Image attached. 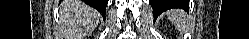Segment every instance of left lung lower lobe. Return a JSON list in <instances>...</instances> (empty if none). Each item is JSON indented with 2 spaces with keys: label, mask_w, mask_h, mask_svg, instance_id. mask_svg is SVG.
<instances>
[{
  "label": "left lung lower lobe",
  "mask_w": 249,
  "mask_h": 39,
  "mask_svg": "<svg viewBox=\"0 0 249 39\" xmlns=\"http://www.w3.org/2000/svg\"><path fill=\"white\" fill-rule=\"evenodd\" d=\"M182 2L183 4L178 5V8H183V9H187L188 7V1L186 0H149L152 8H153V15L154 18H157L159 16V14H161L162 12L171 9V8H175L174 7V3L176 2Z\"/></svg>",
  "instance_id": "obj_1"
}]
</instances>
